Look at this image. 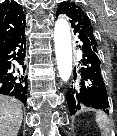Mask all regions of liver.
Returning a JSON list of instances; mask_svg holds the SVG:
<instances>
[{
    "label": "liver",
    "instance_id": "liver-1",
    "mask_svg": "<svg viewBox=\"0 0 117 136\" xmlns=\"http://www.w3.org/2000/svg\"><path fill=\"white\" fill-rule=\"evenodd\" d=\"M22 120V103L0 95V136H17Z\"/></svg>",
    "mask_w": 117,
    "mask_h": 136
}]
</instances>
